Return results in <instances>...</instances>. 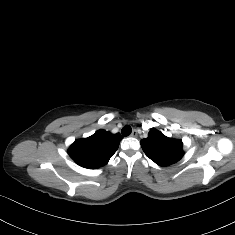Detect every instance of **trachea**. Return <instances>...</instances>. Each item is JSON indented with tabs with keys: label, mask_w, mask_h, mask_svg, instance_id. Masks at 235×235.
I'll return each instance as SVG.
<instances>
[{
	"label": "trachea",
	"mask_w": 235,
	"mask_h": 235,
	"mask_svg": "<svg viewBox=\"0 0 235 235\" xmlns=\"http://www.w3.org/2000/svg\"><path fill=\"white\" fill-rule=\"evenodd\" d=\"M122 135L123 136H128V135H130V133L132 132V128L130 127V126H124L123 128H122Z\"/></svg>",
	"instance_id": "1"
}]
</instances>
